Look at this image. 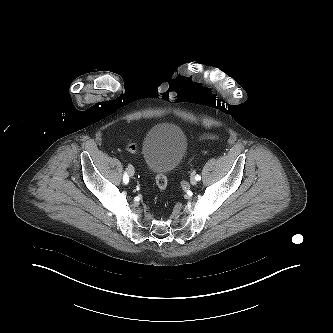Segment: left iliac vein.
<instances>
[{"instance_id":"obj_1","label":"left iliac vein","mask_w":333,"mask_h":333,"mask_svg":"<svg viewBox=\"0 0 333 333\" xmlns=\"http://www.w3.org/2000/svg\"><path fill=\"white\" fill-rule=\"evenodd\" d=\"M190 182H191L192 185H196L197 184V180H196L194 174L191 175Z\"/></svg>"}]
</instances>
